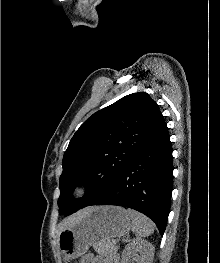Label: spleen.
Returning <instances> with one entry per match:
<instances>
[{
    "mask_svg": "<svg viewBox=\"0 0 220 263\" xmlns=\"http://www.w3.org/2000/svg\"><path fill=\"white\" fill-rule=\"evenodd\" d=\"M128 213L132 219L133 233L139 237H147L153 234L154 224L149 218L131 209H128Z\"/></svg>",
    "mask_w": 220,
    "mask_h": 263,
    "instance_id": "obj_1",
    "label": "spleen"
}]
</instances>
